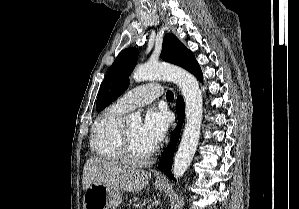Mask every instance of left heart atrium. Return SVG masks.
I'll list each match as a JSON object with an SVG mask.
<instances>
[{"mask_svg":"<svg viewBox=\"0 0 299 209\" xmlns=\"http://www.w3.org/2000/svg\"><path fill=\"white\" fill-rule=\"evenodd\" d=\"M167 128L168 119L165 112L150 109L140 127V137L153 150L164 138Z\"/></svg>","mask_w":299,"mask_h":209,"instance_id":"left-heart-atrium-1","label":"left heart atrium"}]
</instances>
